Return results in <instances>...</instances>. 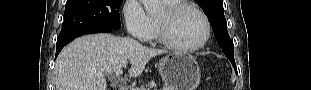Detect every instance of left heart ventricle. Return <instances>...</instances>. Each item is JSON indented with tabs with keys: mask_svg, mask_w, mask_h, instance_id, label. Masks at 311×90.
Segmentation results:
<instances>
[{
	"mask_svg": "<svg viewBox=\"0 0 311 90\" xmlns=\"http://www.w3.org/2000/svg\"><path fill=\"white\" fill-rule=\"evenodd\" d=\"M165 11L158 17L163 18ZM172 40L183 46L194 45L202 40L205 25L202 18L192 9H184L168 22Z\"/></svg>",
	"mask_w": 311,
	"mask_h": 90,
	"instance_id": "obj_1",
	"label": "left heart ventricle"
}]
</instances>
